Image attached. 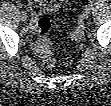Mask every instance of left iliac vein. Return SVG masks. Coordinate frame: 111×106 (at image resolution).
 Here are the masks:
<instances>
[{
	"instance_id": "1",
	"label": "left iliac vein",
	"mask_w": 111,
	"mask_h": 106,
	"mask_svg": "<svg viewBox=\"0 0 111 106\" xmlns=\"http://www.w3.org/2000/svg\"><path fill=\"white\" fill-rule=\"evenodd\" d=\"M92 11V5H87L85 7V13L89 14Z\"/></svg>"
}]
</instances>
